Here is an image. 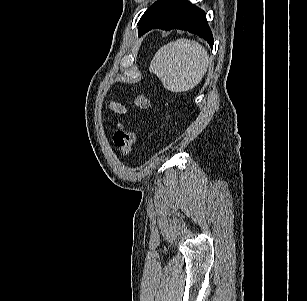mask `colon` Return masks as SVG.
I'll use <instances>...</instances> for the list:
<instances>
[{
    "label": "colon",
    "mask_w": 307,
    "mask_h": 301,
    "mask_svg": "<svg viewBox=\"0 0 307 301\" xmlns=\"http://www.w3.org/2000/svg\"><path fill=\"white\" fill-rule=\"evenodd\" d=\"M150 101L145 93H138L134 98V106L140 111H146L149 108ZM135 128L131 124L121 121L117 125L114 134V143L119 147L121 153L127 156L135 142Z\"/></svg>",
    "instance_id": "obj_1"
}]
</instances>
